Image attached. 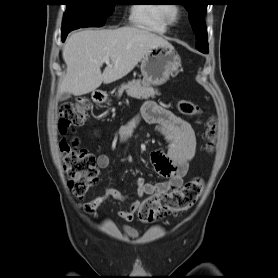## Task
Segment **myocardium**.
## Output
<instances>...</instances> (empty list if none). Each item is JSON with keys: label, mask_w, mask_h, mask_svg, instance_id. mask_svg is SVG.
<instances>
[{"label": "myocardium", "mask_w": 278, "mask_h": 278, "mask_svg": "<svg viewBox=\"0 0 278 278\" xmlns=\"http://www.w3.org/2000/svg\"><path fill=\"white\" fill-rule=\"evenodd\" d=\"M172 7H174L177 10V14L174 17H172L169 14V10ZM183 12H184V9L181 5H163L161 8V16L167 25L177 24L181 20V18L183 16Z\"/></svg>", "instance_id": "1"}]
</instances>
